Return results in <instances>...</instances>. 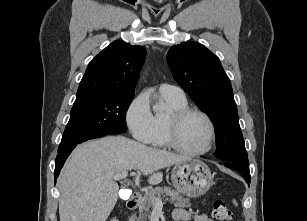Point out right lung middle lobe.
Returning a JSON list of instances; mask_svg holds the SVG:
<instances>
[{
	"label": "right lung middle lobe",
	"instance_id": "right-lung-middle-lobe-1",
	"mask_svg": "<svg viewBox=\"0 0 307 221\" xmlns=\"http://www.w3.org/2000/svg\"><path fill=\"white\" fill-rule=\"evenodd\" d=\"M134 93H114L74 102L58 151L89 139L127 131L126 112Z\"/></svg>",
	"mask_w": 307,
	"mask_h": 221
}]
</instances>
